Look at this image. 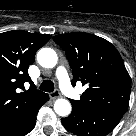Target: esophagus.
Returning <instances> with one entry per match:
<instances>
[{"instance_id": "34e87169", "label": "esophagus", "mask_w": 136, "mask_h": 136, "mask_svg": "<svg viewBox=\"0 0 136 136\" xmlns=\"http://www.w3.org/2000/svg\"><path fill=\"white\" fill-rule=\"evenodd\" d=\"M49 97L50 99L54 100V99L61 97V94L58 90H55L49 94Z\"/></svg>"}]
</instances>
